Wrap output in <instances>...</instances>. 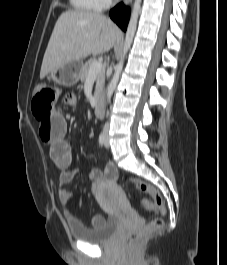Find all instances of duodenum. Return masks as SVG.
<instances>
[{"instance_id": "1", "label": "duodenum", "mask_w": 227, "mask_h": 265, "mask_svg": "<svg viewBox=\"0 0 227 265\" xmlns=\"http://www.w3.org/2000/svg\"><path fill=\"white\" fill-rule=\"evenodd\" d=\"M93 111L97 118H102L104 113L103 102L100 98H97L93 105Z\"/></svg>"}]
</instances>
